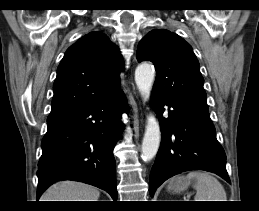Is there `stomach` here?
Returning a JSON list of instances; mask_svg holds the SVG:
<instances>
[{
  "label": "stomach",
  "mask_w": 259,
  "mask_h": 211,
  "mask_svg": "<svg viewBox=\"0 0 259 211\" xmlns=\"http://www.w3.org/2000/svg\"><path fill=\"white\" fill-rule=\"evenodd\" d=\"M190 183H191L190 180L187 179L186 177L179 176V177L172 179L169 182L167 188L170 191L180 193V192L186 190L189 187Z\"/></svg>",
  "instance_id": "stomach-1"
}]
</instances>
